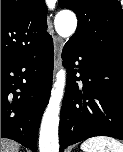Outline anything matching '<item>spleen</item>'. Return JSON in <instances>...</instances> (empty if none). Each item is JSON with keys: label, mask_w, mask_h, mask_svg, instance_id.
Returning a JSON list of instances; mask_svg holds the SVG:
<instances>
[{"label": "spleen", "mask_w": 123, "mask_h": 152, "mask_svg": "<svg viewBox=\"0 0 123 152\" xmlns=\"http://www.w3.org/2000/svg\"><path fill=\"white\" fill-rule=\"evenodd\" d=\"M83 152H123V144L105 136L92 137L81 144Z\"/></svg>", "instance_id": "1"}]
</instances>
